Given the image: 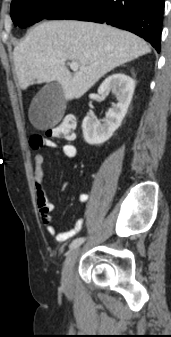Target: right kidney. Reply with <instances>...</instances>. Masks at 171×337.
<instances>
[{
	"instance_id": "ca27d5eb",
	"label": "right kidney",
	"mask_w": 171,
	"mask_h": 337,
	"mask_svg": "<svg viewBox=\"0 0 171 337\" xmlns=\"http://www.w3.org/2000/svg\"><path fill=\"white\" fill-rule=\"evenodd\" d=\"M135 81L124 73L107 77L100 85L98 93L105 98L110 92L115 94L117 103L106 113L101 122L94 116H86L82 122L83 137L88 144L106 142L120 127L133 97Z\"/></svg>"
}]
</instances>
